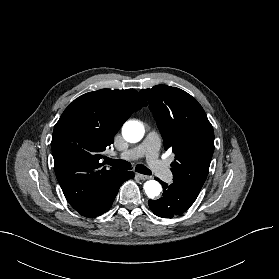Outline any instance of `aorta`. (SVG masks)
Here are the masks:
<instances>
[{"label":"aorta","mask_w":279,"mask_h":279,"mask_svg":"<svg viewBox=\"0 0 279 279\" xmlns=\"http://www.w3.org/2000/svg\"><path fill=\"white\" fill-rule=\"evenodd\" d=\"M145 133L144 126L138 121H127L122 127V135L124 139L130 143L139 142ZM146 195L153 199L160 194L162 187L155 180L146 181L144 184Z\"/></svg>","instance_id":"obj_1"}]
</instances>
